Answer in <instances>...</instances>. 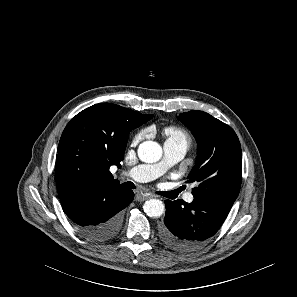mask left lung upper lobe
Masks as SVG:
<instances>
[{"mask_svg":"<svg viewBox=\"0 0 297 297\" xmlns=\"http://www.w3.org/2000/svg\"><path fill=\"white\" fill-rule=\"evenodd\" d=\"M178 119L198 143L196 164L188 182H196L194 198L236 199L242 181V153L239 139L227 124L203 111L182 113Z\"/></svg>","mask_w":297,"mask_h":297,"instance_id":"5c2ea615","label":"left lung upper lobe"}]
</instances>
